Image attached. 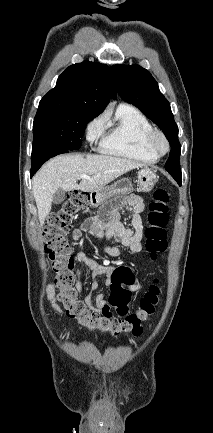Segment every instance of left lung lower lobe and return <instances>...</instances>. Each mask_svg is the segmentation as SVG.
<instances>
[{"instance_id": "1", "label": "left lung lower lobe", "mask_w": 213, "mask_h": 433, "mask_svg": "<svg viewBox=\"0 0 213 433\" xmlns=\"http://www.w3.org/2000/svg\"><path fill=\"white\" fill-rule=\"evenodd\" d=\"M182 182V181H181ZM181 182L179 181L178 184L181 185Z\"/></svg>"}]
</instances>
